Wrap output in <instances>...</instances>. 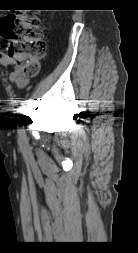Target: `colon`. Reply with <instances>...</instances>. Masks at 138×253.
Instances as JSON below:
<instances>
[{
	"instance_id": "colon-1",
	"label": "colon",
	"mask_w": 138,
	"mask_h": 253,
	"mask_svg": "<svg viewBox=\"0 0 138 253\" xmlns=\"http://www.w3.org/2000/svg\"><path fill=\"white\" fill-rule=\"evenodd\" d=\"M41 21L35 16L10 14L0 21V33L7 40V52L25 74L37 72V62L46 52Z\"/></svg>"
}]
</instances>
